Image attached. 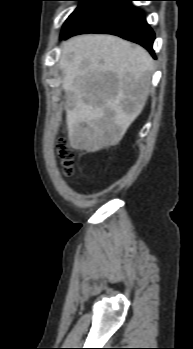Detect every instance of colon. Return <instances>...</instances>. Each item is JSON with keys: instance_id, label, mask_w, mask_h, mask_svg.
Segmentation results:
<instances>
[{"instance_id": "colon-1", "label": "colon", "mask_w": 193, "mask_h": 349, "mask_svg": "<svg viewBox=\"0 0 193 349\" xmlns=\"http://www.w3.org/2000/svg\"><path fill=\"white\" fill-rule=\"evenodd\" d=\"M57 155L60 165L65 175L70 176L73 173L74 153L67 146L64 140H59L56 144Z\"/></svg>"}]
</instances>
